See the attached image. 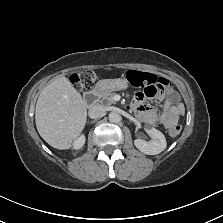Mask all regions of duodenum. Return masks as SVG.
I'll return each mask as SVG.
<instances>
[{"mask_svg": "<svg viewBox=\"0 0 223 223\" xmlns=\"http://www.w3.org/2000/svg\"><path fill=\"white\" fill-rule=\"evenodd\" d=\"M102 92H103V85L100 83L95 85V87L92 90L85 92L84 94L85 104L89 106L94 105L97 102L98 97L102 94Z\"/></svg>", "mask_w": 223, "mask_h": 223, "instance_id": "obj_1", "label": "duodenum"}]
</instances>
